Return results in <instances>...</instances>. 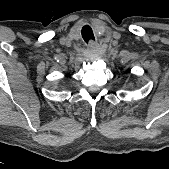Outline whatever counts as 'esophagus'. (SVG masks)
I'll return each mask as SVG.
<instances>
[{
  "instance_id": "34e87169",
  "label": "esophagus",
  "mask_w": 169,
  "mask_h": 169,
  "mask_svg": "<svg viewBox=\"0 0 169 169\" xmlns=\"http://www.w3.org/2000/svg\"><path fill=\"white\" fill-rule=\"evenodd\" d=\"M95 46H96V42H94V41H90L88 44L89 48H94Z\"/></svg>"
}]
</instances>
